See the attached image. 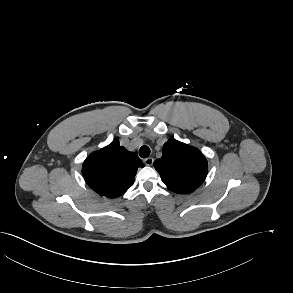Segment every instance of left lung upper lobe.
<instances>
[{"instance_id":"left-lung-upper-lobe-1","label":"left lung upper lobe","mask_w":293,"mask_h":293,"mask_svg":"<svg viewBox=\"0 0 293 293\" xmlns=\"http://www.w3.org/2000/svg\"><path fill=\"white\" fill-rule=\"evenodd\" d=\"M154 167L162 182L173 192L188 194L205 180L208 167L204 155L195 147L175 139L163 145L162 157Z\"/></svg>"}]
</instances>
